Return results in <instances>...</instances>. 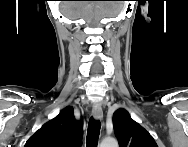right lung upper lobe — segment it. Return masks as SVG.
Here are the masks:
<instances>
[{"label":"right lung upper lobe","mask_w":188,"mask_h":147,"mask_svg":"<svg viewBox=\"0 0 188 147\" xmlns=\"http://www.w3.org/2000/svg\"><path fill=\"white\" fill-rule=\"evenodd\" d=\"M73 111L71 106L62 109L30 137L25 147H80L83 122L75 119Z\"/></svg>","instance_id":"obj_1"}]
</instances>
